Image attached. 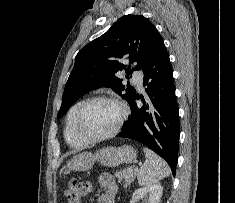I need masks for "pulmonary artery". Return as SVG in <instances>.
Returning a JSON list of instances; mask_svg holds the SVG:
<instances>
[{
    "instance_id": "pulmonary-artery-1",
    "label": "pulmonary artery",
    "mask_w": 235,
    "mask_h": 203,
    "mask_svg": "<svg viewBox=\"0 0 235 203\" xmlns=\"http://www.w3.org/2000/svg\"><path fill=\"white\" fill-rule=\"evenodd\" d=\"M132 80L138 88L141 89L143 87V76H142V74H140L138 72H135L133 74Z\"/></svg>"
}]
</instances>
